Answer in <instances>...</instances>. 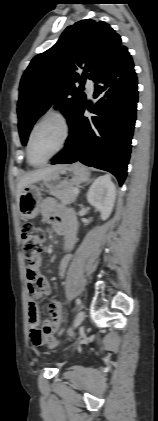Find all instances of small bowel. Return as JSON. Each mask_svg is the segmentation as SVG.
<instances>
[{"label":"small bowel","instance_id":"1","mask_svg":"<svg viewBox=\"0 0 158 421\" xmlns=\"http://www.w3.org/2000/svg\"><path fill=\"white\" fill-rule=\"evenodd\" d=\"M41 213L44 219L53 227V229L62 234L64 238V246L70 251L76 242L77 223L74 214L71 211L64 210L59 207L52 199H47L42 203ZM71 255L66 254L59 264V276L62 277L70 262ZM40 257L26 268L27 277V297H28V318L31 332V339L35 345L44 343H36L34 334L39 333L42 337L54 335L62 323L61 303L53 300L49 304L50 318L45 321L40 328L39 309L36 301L43 295L50 293V284L40 271Z\"/></svg>","mask_w":158,"mask_h":421}]
</instances>
